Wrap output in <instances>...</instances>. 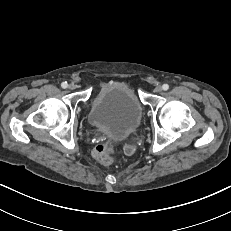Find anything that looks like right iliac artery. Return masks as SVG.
Instances as JSON below:
<instances>
[{
	"mask_svg": "<svg viewBox=\"0 0 231 231\" xmlns=\"http://www.w3.org/2000/svg\"><path fill=\"white\" fill-rule=\"evenodd\" d=\"M67 86H68L67 82H62L61 87H62L63 89L67 88Z\"/></svg>",
	"mask_w": 231,
	"mask_h": 231,
	"instance_id": "obj_1",
	"label": "right iliac artery"
}]
</instances>
